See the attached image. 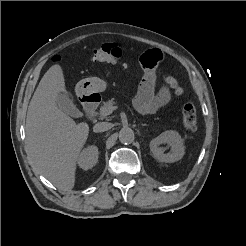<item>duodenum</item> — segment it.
Instances as JSON below:
<instances>
[{
  "instance_id": "1",
  "label": "duodenum",
  "mask_w": 246,
  "mask_h": 246,
  "mask_svg": "<svg viewBox=\"0 0 246 246\" xmlns=\"http://www.w3.org/2000/svg\"><path fill=\"white\" fill-rule=\"evenodd\" d=\"M84 111L87 117L91 118L95 112L97 107V103L99 101L98 94H88L82 97Z\"/></svg>"
}]
</instances>
